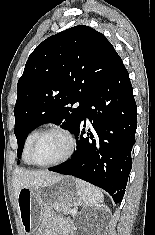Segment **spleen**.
<instances>
[{
	"instance_id": "3e777b00",
	"label": "spleen",
	"mask_w": 155,
	"mask_h": 235,
	"mask_svg": "<svg viewBox=\"0 0 155 235\" xmlns=\"http://www.w3.org/2000/svg\"><path fill=\"white\" fill-rule=\"evenodd\" d=\"M75 182L81 191L82 200L87 206H94L103 202L104 195L98 188L80 179H75Z\"/></svg>"
}]
</instances>
